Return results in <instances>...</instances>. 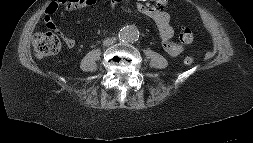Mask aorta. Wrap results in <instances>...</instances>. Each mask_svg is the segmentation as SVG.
Instances as JSON below:
<instances>
[{
    "label": "aorta",
    "instance_id": "762f6f07",
    "mask_svg": "<svg viewBox=\"0 0 253 143\" xmlns=\"http://www.w3.org/2000/svg\"><path fill=\"white\" fill-rule=\"evenodd\" d=\"M119 40L122 42H135L139 38V30L133 25L123 27L118 34Z\"/></svg>",
    "mask_w": 253,
    "mask_h": 143
}]
</instances>
